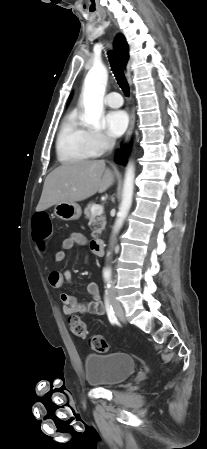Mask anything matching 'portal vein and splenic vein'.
<instances>
[{
    "label": "portal vein and splenic vein",
    "mask_w": 207,
    "mask_h": 449,
    "mask_svg": "<svg viewBox=\"0 0 207 449\" xmlns=\"http://www.w3.org/2000/svg\"><path fill=\"white\" fill-rule=\"evenodd\" d=\"M91 212H92V214H94V215H100V214L103 213V206H101V205H94V206L91 208Z\"/></svg>",
    "instance_id": "portal-vein-and-splenic-vein-1"
}]
</instances>
